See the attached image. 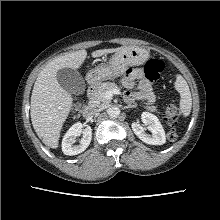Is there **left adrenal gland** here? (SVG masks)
<instances>
[{"label": "left adrenal gland", "mask_w": 220, "mask_h": 220, "mask_svg": "<svg viewBox=\"0 0 220 220\" xmlns=\"http://www.w3.org/2000/svg\"><path fill=\"white\" fill-rule=\"evenodd\" d=\"M132 107H134V106H132V105H128V106H126V108H132Z\"/></svg>", "instance_id": "obj_1"}]
</instances>
